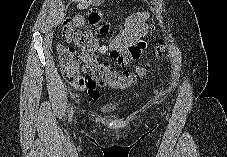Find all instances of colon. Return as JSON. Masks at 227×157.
I'll return each mask as SVG.
<instances>
[{"instance_id": "5ec220e1", "label": "colon", "mask_w": 227, "mask_h": 157, "mask_svg": "<svg viewBox=\"0 0 227 157\" xmlns=\"http://www.w3.org/2000/svg\"><path fill=\"white\" fill-rule=\"evenodd\" d=\"M92 16H99L93 12ZM62 37L70 43L80 48L78 53L75 48L57 45L58 60L62 74L66 81L73 87L81 81L80 71L86 73L84 78L91 85H109L116 88L129 86L136 76L143 74L148 64L141 65L136 71V75L118 73L113 71L109 65L98 59L99 38L89 30L77 29L69 20H65L61 28ZM165 43L160 41L154 51L155 55H161L164 51Z\"/></svg>"}]
</instances>
